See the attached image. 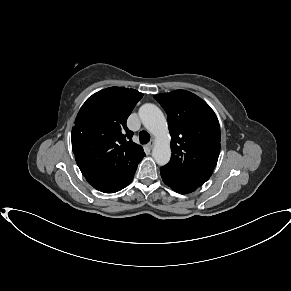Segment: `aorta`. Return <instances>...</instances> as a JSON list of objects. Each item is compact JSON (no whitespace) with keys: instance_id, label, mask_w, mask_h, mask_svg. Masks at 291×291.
<instances>
[{"instance_id":"762f6f07","label":"aorta","mask_w":291,"mask_h":291,"mask_svg":"<svg viewBox=\"0 0 291 291\" xmlns=\"http://www.w3.org/2000/svg\"><path fill=\"white\" fill-rule=\"evenodd\" d=\"M139 117L144 127L155 137L152 156L160 166L167 164L171 157L170 135L162 111L154 104L147 103L140 107Z\"/></svg>"}]
</instances>
